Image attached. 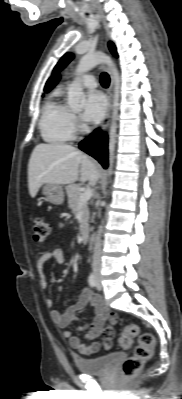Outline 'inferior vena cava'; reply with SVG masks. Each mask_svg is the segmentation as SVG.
Returning a JSON list of instances; mask_svg holds the SVG:
<instances>
[{
	"mask_svg": "<svg viewBox=\"0 0 182 399\" xmlns=\"http://www.w3.org/2000/svg\"><path fill=\"white\" fill-rule=\"evenodd\" d=\"M92 269L98 272L101 266V229H99L97 236L94 239Z\"/></svg>",
	"mask_w": 182,
	"mask_h": 399,
	"instance_id": "602c4592",
	"label": "inferior vena cava"
}]
</instances>
